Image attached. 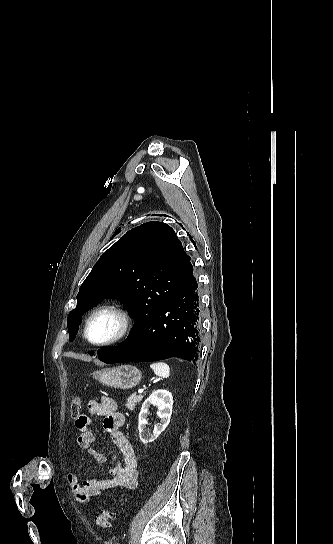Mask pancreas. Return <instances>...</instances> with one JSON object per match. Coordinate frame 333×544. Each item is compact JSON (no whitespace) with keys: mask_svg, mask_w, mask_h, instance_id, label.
Returning <instances> with one entry per match:
<instances>
[{"mask_svg":"<svg viewBox=\"0 0 333 544\" xmlns=\"http://www.w3.org/2000/svg\"><path fill=\"white\" fill-rule=\"evenodd\" d=\"M143 399V395H136L132 394L127 399L126 407L132 411L135 409L137 403H139Z\"/></svg>","mask_w":333,"mask_h":544,"instance_id":"1","label":"pancreas"}]
</instances>
